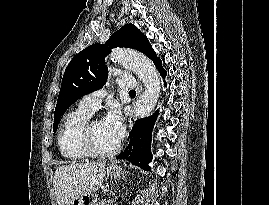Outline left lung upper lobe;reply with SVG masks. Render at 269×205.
I'll return each mask as SVG.
<instances>
[{
	"label": "left lung upper lobe",
	"instance_id": "left-lung-upper-lobe-1",
	"mask_svg": "<svg viewBox=\"0 0 269 205\" xmlns=\"http://www.w3.org/2000/svg\"><path fill=\"white\" fill-rule=\"evenodd\" d=\"M117 47L136 49L154 63L159 59L147 37L131 23L125 24L112 34L105 44H93L79 52L68 64L62 78L54 112V132L67 108L82 96L100 89L106 83L108 70L104 64V57L111 52V49Z\"/></svg>",
	"mask_w": 269,
	"mask_h": 205
}]
</instances>
